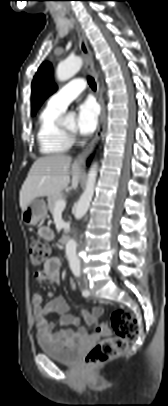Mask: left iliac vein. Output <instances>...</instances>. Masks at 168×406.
Segmentation results:
<instances>
[{
	"label": "left iliac vein",
	"mask_w": 168,
	"mask_h": 406,
	"mask_svg": "<svg viewBox=\"0 0 168 406\" xmlns=\"http://www.w3.org/2000/svg\"><path fill=\"white\" fill-rule=\"evenodd\" d=\"M86 287H87V289L90 291V289H89V287H88V284L86 283Z\"/></svg>",
	"instance_id": "4c4485c4"
}]
</instances>
